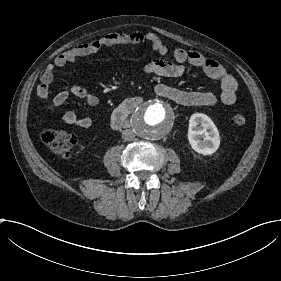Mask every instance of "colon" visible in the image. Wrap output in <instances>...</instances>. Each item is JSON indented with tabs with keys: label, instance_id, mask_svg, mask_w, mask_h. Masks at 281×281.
<instances>
[{
	"label": "colon",
	"instance_id": "1",
	"mask_svg": "<svg viewBox=\"0 0 281 281\" xmlns=\"http://www.w3.org/2000/svg\"><path fill=\"white\" fill-rule=\"evenodd\" d=\"M247 117L243 112H234L231 123L235 127L246 124ZM42 141L55 153L64 157L70 156L78 144V138L64 129L47 130L42 134Z\"/></svg>",
	"mask_w": 281,
	"mask_h": 281
}]
</instances>
